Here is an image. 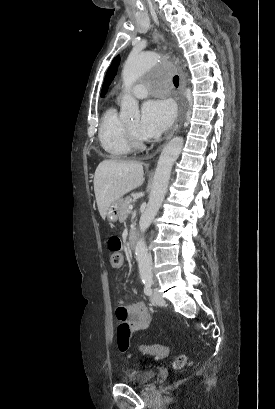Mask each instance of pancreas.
Listing matches in <instances>:
<instances>
[{
    "instance_id": "obj_1",
    "label": "pancreas",
    "mask_w": 275,
    "mask_h": 409,
    "mask_svg": "<svg viewBox=\"0 0 275 409\" xmlns=\"http://www.w3.org/2000/svg\"><path fill=\"white\" fill-rule=\"evenodd\" d=\"M131 202H133L131 196H126L125 200H123L120 215H119L120 223H124V221H126L128 211H129V205H131Z\"/></svg>"
}]
</instances>
